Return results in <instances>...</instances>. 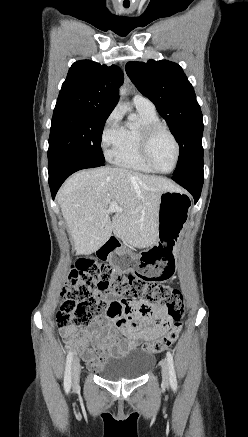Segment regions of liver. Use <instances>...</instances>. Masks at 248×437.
I'll use <instances>...</instances> for the list:
<instances>
[{
	"label": "liver",
	"instance_id": "liver-1",
	"mask_svg": "<svg viewBox=\"0 0 248 437\" xmlns=\"http://www.w3.org/2000/svg\"><path fill=\"white\" fill-rule=\"evenodd\" d=\"M177 190L168 179L123 168L102 167L73 174L60 188L57 200L77 253L89 255L114 235L136 248L157 240L160 195ZM115 201L122 211L112 220Z\"/></svg>",
	"mask_w": 248,
	"mask_h": 437
}]
</instances>
